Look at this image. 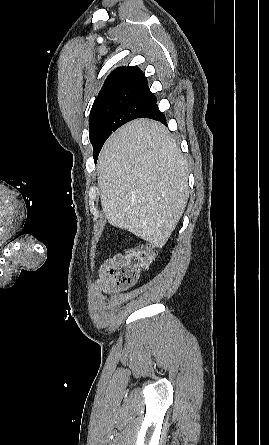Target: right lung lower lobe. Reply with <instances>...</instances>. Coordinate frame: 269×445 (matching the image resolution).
Returning a JSON list of instances; mask_svg holds the SVG:
<instances>
[{"mask_svg":"<svg viewBox=\"0 0 269 445\" xmlns=\"http://www.w3.org/2000/svg\"><path fill=\"white\" fill-rule=\"evenodd\" d=\"M140 117H146V118L158 120V121L166 124L165 116L162 112H160L158 105H157V101L154 102L151 106H149Z\"/></svg>","mask_w":269,"mask_h":445,"instance_id":"1","label":"right lung lower lobe"}]
</instances>
